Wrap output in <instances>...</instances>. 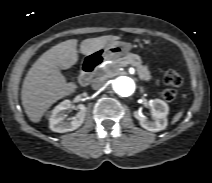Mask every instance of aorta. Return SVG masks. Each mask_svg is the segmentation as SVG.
Returning a JSON list of instances; mask_svg holds the SVG:
<instances>
[{
  "instance_id": "762f6f07",
  "label": "aorta",
  "mask_w": 212,
  "mask_h": 183,
  "mask_svg": "<svg viewBox=\"0 0 212 183\" xmlns=\"http://www.w3.org/2000/svg\"><path fill=\"white\" fill-rule=\"evenodd\" d=\"M135 81L129 76H119L113 82L114 91L122 96H131L135 91Z\"/></svg>"
}]
</instances>
